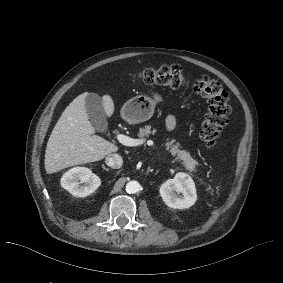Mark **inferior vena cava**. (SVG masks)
Instances as JSON below:
<instances>
[{
  "instance_id": "inferior-vena-cava-1",
  "label": "inferior vena cava",
  "mask_w": 283,
  "mask_h": 283,
  "mask_svg": "<svg viewBox=\"0 0 283 283\" xmlns=\"http://www.w3.org/2000/svg\"><path fill=\"white\" fill-rule=\"evenodd\" d=\"M105 162L113 169H119L122 166V158L117 154H110L106 157Z\"/></svg>"
}]
</instances>
